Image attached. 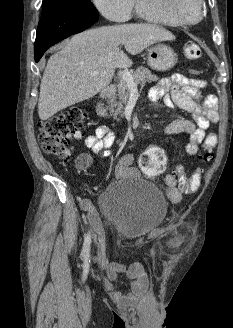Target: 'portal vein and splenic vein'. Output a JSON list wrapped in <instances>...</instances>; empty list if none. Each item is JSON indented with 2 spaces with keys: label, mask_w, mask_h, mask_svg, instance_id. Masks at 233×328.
<instances>
[{
  "label": "portal vein and splenic vein",
  "mask_w": 233,
  "mask_h": 328,
  "mask_svg": "<svg viewBox=\"0 0 233 328\" xmlns=\"http://www.w3.org/2000/svg\"><path fill=\"white\" fill-rule=\"evenodd\" d=\"M121 78L127 83L130 90H137V83L133 81L132 75L128 70L120 72Z\"/></svg>",
  "instance_id": "1"
}]
</instances>
